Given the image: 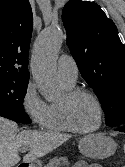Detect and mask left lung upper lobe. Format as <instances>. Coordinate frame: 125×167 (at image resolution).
I'll list each match as a JSON object with an SVG mask.
<instances>
[{
  "label": "left lung upper lobe",
  "instance_id": "left-lung-upper-lobe-1",
  "mask_svg": "<svg viewBox=\"0 0 125 167\" xmlns=\"http://www.w3.org/2000/svg\"><path fill=\"white\" fill-rule=\"evenodd\" d=\"M62 20L67 45L103 105L106 125H125V45L114 22L98 4L80 0L66 3Z\"/></svg>",
  "mask_w": 125,
  "mask_h": 167
}]
</instances>
